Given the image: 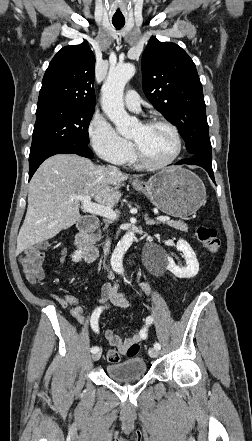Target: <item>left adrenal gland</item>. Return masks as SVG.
<instances>
[{"label": "left adrenal gland", "mask_w": 252, "mask_h": 441, "mask_svg": "<svg viewBox=\"0 0 252 441\" xmlns=\"http://www.w3.org/2000/svg\"><path fill=\"white\" fill-rule=\"evenodd\" d=\"M145 222H146V225H155V224H158V222H156V221H154V220H152V219H149L147 214L145 215Z\"/></svg>", "instance_id": "a2214340"}]
</instances>
